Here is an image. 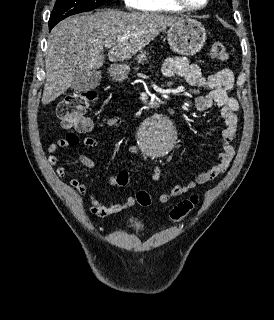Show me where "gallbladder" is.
I'll return each mask as SVG.
<instances>
[{"mask_svg": "<svg viewBox=\"0 0 274 320\" xmlns=\"http://www.w3.org/2000/svg\"><path fill=\"white\" fill-rule=\"evenodd\" d=\"M101 82L100 68H78L74 78L70 83V90L80 92V90H95Z\"/></svg>", "mask_w": 274, "mask_h": 320, "instance_id": "gallbladder-1", "label": "gallbladder"}]
</instances>
